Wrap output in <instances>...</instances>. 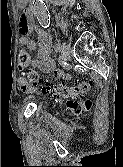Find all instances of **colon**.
Instances as JSON below:
<instances>
[{
	"mask_svg": "<svg viewBox=\"0 0 123 167\" xmlns=\"http://www.w3.org/2000/svg\"><path fill=\"white\" fill-rule=\"evenodd\" d=\"M18 61L20 67L24 70V80L30 85L40 84L41 80L38 73L35 70L27 68L30 62V56L27 51L21 50L19 52ZM91 87L92 82L84 79L74 84L46 82L43 84L42 89L53 96L66 99L68 106L79 113L82 109L79 102L85 98ZM85 107H88V104Z\"/></svg>",
	"mask_w": 123,
	"mask_h": 167,
	"instance_id": "colon-1",
	"label": "colon"
}]
</instances>
